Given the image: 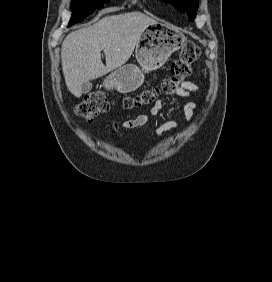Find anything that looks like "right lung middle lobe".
<instances>
[{"instance_id": "1", "label": "right lung middle lobe", "mask_w": 272, "mask_h": 282, "mask_svg": "<svg viewBox=\"0 0 272 282\" xmlns=\"http://www.w3.org/2000/svg\"><path fill=\"white\" fill-rule=\"evenodd\" d=\"M107 0H72L71 10L72 17L69 22V26L74 23L81 22L89 14L93 13L96 8L103 7Z\"/></svg>"}]
</instances>
